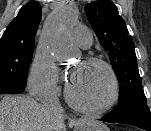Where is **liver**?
<instances>
[{
  "label": "liver",
  "instance_id": "obj_1",
  "mask_svg": "<svg viewBox=\"0 0 151 131\" xmlns=\"http://www.w3.org/2000/svg\"><path fill=\"white\" fill-rule=\"evenodd\" d=\"M64 116L45 110L27 96H4L0 101V131H62Z\"/></svg>",
  "mask_w": 151,
  "mask_h": 131
}]
</instances>
